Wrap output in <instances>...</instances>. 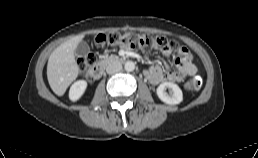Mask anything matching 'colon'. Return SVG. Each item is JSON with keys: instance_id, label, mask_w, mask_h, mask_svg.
Returning <instances> with one entry per match:
<instances>
[{"instance_id": "obj_1", "label": "colon", "mask_w": 258, "mask_h": 158, "mask_svg": "<svg viewBox=\"0 0 258 158\" xmlns=\"http://www.w3.org/2000/svg\"><path fill=\"white\" fill-rule=\"evenodd\" d=\"M96 43L100 46H120L126 49H140L143 51L161 50L163 52L179 51L180 46L174 40L161 35L138 34V33H109L100 34L96 37ZM95 62L92 54L85 55L80 59V67L85 69ZM202 86L199 76L188 78L184 87L188 92H197Z\"/></svg>"}]
</instances>
